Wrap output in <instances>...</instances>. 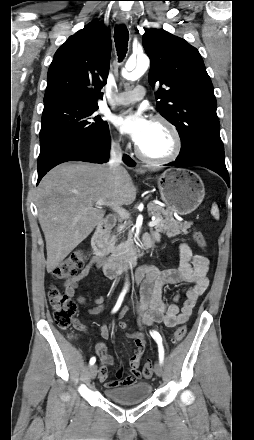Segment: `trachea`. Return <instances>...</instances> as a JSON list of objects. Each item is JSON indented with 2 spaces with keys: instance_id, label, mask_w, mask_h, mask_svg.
<instances>
[{
  "instance_id": "3493384b",
  "label": "trachea",
  "mask_w": 254,
  "mask_h": 440,
  "mask_svg": "<svg viewBox=\"0 0 254 440\" xmlns=\"http://www.w3.org/2000/svg\"><path fill=\"white\" fill-rule=\"evenodd\" d=\"M129 32L123 25L117 26L114 32L115 47L119 61L123 60L128 47Z\"/></svg>"
}]
</instances>
